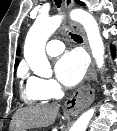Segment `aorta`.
I'll list each match as a JSON object with an SVG mask.
<instances>
[{"instance_id": "aorta-1", "label": "aorta", "mask_w": 117, "mask_h": 131, "mask_svg": "<svg viewBox=\"0 0 117 131\" xmlns=\"http://www.w3.org/2000/svg\"><path fill=\"white\" fill-rule=\"evenodd\" d=\"M70 17L84 27L96 65L99 69L102 68L104 66L105 50L95 18L81 9L73 10ZM61 21L62 16L58 15L50 18L37 17L26 36L24 58L34 74L40 77L47 78L52 75L51 66L45 53V45L48 38L60 26ZM94 112L95 108L84 112L72 125L70 131H86Z\"/></svg>"}]
</instances>
